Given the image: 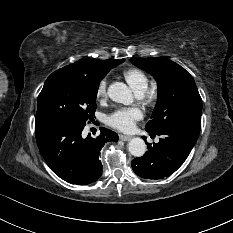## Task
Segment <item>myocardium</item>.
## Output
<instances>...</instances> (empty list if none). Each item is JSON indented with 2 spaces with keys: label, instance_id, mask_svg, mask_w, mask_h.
I'll list each match as a JSON object with an SVG mask.
<instances>
[{
  "label": "myocardium",
  "instance_id": "myocardium-1",
  "mask_svg": "<svg viewBox=\"0 0 233 233\" xmlns=\"http://www.w3.org/2000/svg\"><path fill=\"white\" fill-rule=\"evenodd\" d=\"M155 92L153 90H145L141 93V97L146 103H151L155 99Z\"/></svg>",
  "mask_w": 233,
  "mask_h": 233
}]
</instances>
